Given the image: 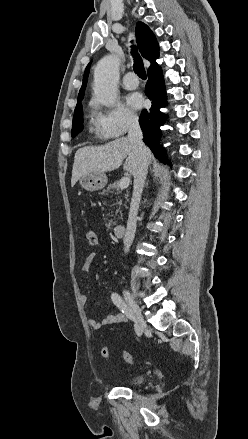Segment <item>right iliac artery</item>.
Listing matches in <instances>:
<instances>
[{
  "label": "right iliac artery",
  "instance_id": "right-iliac-artery-1",
  "mask_svg": "<svg viewBox=\"0 0 248 439\" xmlns=\"http://www.w3.org/2000/svg\"><path fill=\"white\" fill-rule=\"evenodd\" d=\"M111 299L113 303L124 313L131 321L135 322V316L133 315L131 309L126 305L121 296L117 293H112Z\"/></svg>",
  "mask_w": 248,
  "mask_h": 439
}]
</instances>
